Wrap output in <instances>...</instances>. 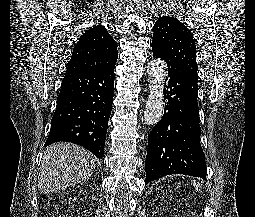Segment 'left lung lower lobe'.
Masks as SVG:
<instances>
[{"mask_svg": "<svg viewBox=\"0 0 255 217\" xmlns=\"http://www.w3.org/2000/svg\"><path fill=\"white\" fill-rule=\"evenodd\" d=\"M153 56L161 58L156 52ZM197 82L194 74L168 66L164 115L148 138L146 184L170 174L206 179L205 155L200 144Z\"/></svg>", "mask_w": 255, "mask_h": 217, "instance_id": "obj_1", "label": "left lung lower lobe"}]
</instances>
